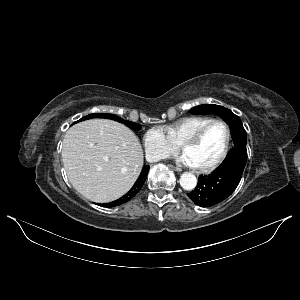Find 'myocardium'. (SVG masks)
I'll return each instance as SVG.
<instances>
[{
  "instance_id": "myocardium-1",
  "label": "myocardium",
  "mask_w": 300,
  "mask_h": 300,
  "mask_svg": "<svg viewBox=\"0 0 300 300\" xmlns=\"http://www.w3.org/2000/svg\"><path fill=\"white\" fill-rule=\"evenodd\" d=\"M214 124H220V125L224 126V128L226 129V133H227L226 144H225L222 154L215 161H213L210 164L204 165V166H193L194 169L197 170L198 172L204 173V172L212 171L215 168H217L219 165H221L224 162V160L227 158L229 151H230L231 139H232L231 129H230L229 125L223 120L213 119V120L209 121L208 123H206L205 125H203L202 127H200L199 129H197L181 145V151L185 152V150L187 148L197 144L201 140V138L203 137V135L207 131V129Z\"/></svg>"
}]
</instances>
